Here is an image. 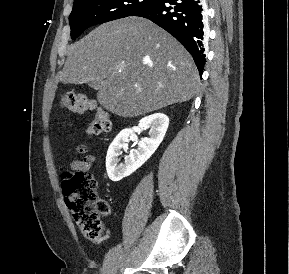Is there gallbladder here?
I'll return each instance as SVG.
<instances>
[{"label":"gallbladder","instance_id":"obj_1","mask_svg":"<svg viewBox=\"0 0 289 274\" xmlns=\"http://www.w3.org/2000/svg\"><path fill=\"white\" fill-rule=\"evenodd\" d=\"M89 86L92 87V88H94V89L96 88V85L93 84V83H90Z\"/></svg>","mask_w":289,"mask_h":274}]
</instances>
